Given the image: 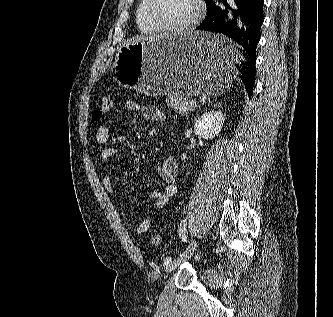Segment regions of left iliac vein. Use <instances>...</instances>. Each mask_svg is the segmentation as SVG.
I'll list each match as a JSON object with an SVG mask.
<instances>
[{"label":"left iliac vein","instance_id":"obj_1","mask_svg":"<svg viewBox=\"0 0 333 317\" xmlns=\"http://www.w3.org/2000/svg\"><path fill=\"white\" fill-rule=\"evenodd\" d=\"M197 248V242H194L189 248L187 252L182 253L177 259L169 262L166 266H165V271L167 273L175 270L183 261H185L186 259H188L189 257H191L194 253V251Z\"/></svg>","mask_w":333,"mask_h":317}]
</instances>
